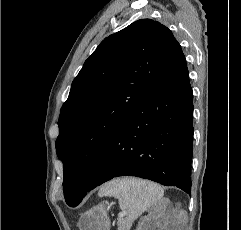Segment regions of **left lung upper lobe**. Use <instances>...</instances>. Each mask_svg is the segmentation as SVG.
<instances>
[{
	"label": "left lung upper lobe",
	"instance_id": "obj_1",
	"mask_svg": "<svg viewBox=\"0 0 241 230\" xmlns=\"http://www.w3.org/2000/svg\"><path fill=\"white\" fill-rule=\"evenodd\" d=\"M184 58L170 29L141 19L105 38L85 61L58 121L56 151L69 206L91 183L110 139Z\"/></svg>",
	"mask_w": 241,
	"mask_h": 230
}]
</instances>
